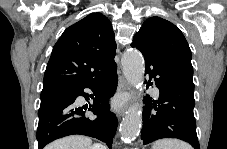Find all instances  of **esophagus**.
<instances>
[{
    "mask_svg": "<svg viewBox=\"0 0 227 149\" xmlns=\"http://www.w3.org/2000/svg\"><path fill=\"white\" fill-rule=\"evenodd\" d=\"M129 89L127 81L122 75H119L118 77V87L117 90L119 93L121 92H127ZM127 105L120 106L117 110L118 116H123L126 111ZM127 114V113H126Z\"/></svg>",
    "mask_w": 227,
    "mask_h": 149,
    "instance_id": "esophagus-1",
    "label": "esophagus"
}]
</instances>
